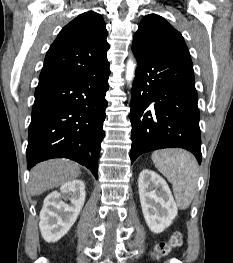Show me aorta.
<instances>
[{"label":"aorta","mask_w":233,"mask_h":263,"mask_svg":"<svg viewBox=\"0 0 233 263\" xmlns=\"http://www.w3.org/2000/svg\"><path fill=\"white\" fill-rule=\"evenodd\" d=\"M135 65L132 61H128L126 70V79L131 81L134 77Z\"/></svg>","instance_id":"1"}]
</instances>
